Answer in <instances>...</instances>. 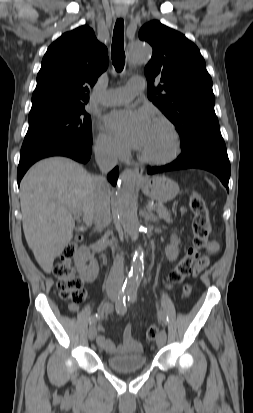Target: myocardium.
<instances>
[{
    "mask_svg": "<svg viewBox=\"0 0 253 413\" xmlns=\"http://www.w3.org/2000/svg\"><path fill=\"white\" fill-rule=\"evenodd\" d=\"M154 123L163 126L169 133L172 144L171 151L163 157H155L140 150L139 157L141 158V160L149 164L165 165L174 161L179 156L182 146L180 135L174 124L167 118L158 117L155 119Z\"/></svg>",
    "mask_w": 253,
    "mask_h": 413,
    "instance_id": "1",
    "label": "myocardium"
}]
</instances>
